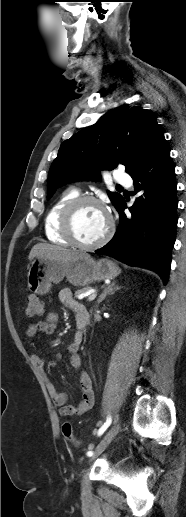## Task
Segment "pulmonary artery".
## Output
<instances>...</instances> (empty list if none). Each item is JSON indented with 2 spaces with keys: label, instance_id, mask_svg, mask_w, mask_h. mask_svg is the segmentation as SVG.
<instances>
[{
  "label": "pulmonary artery",
  "instance_id": "1",
  "mask_svg": "<svg viewBox=\"0 0 186 517\" xmlns=\"http://www.w3.org/2000/svg\"><path fill=\"white\" fill-rule=\"evenodd\" d=\"M115 181L121 185H131L132 179L128 174L117 172L115 174Z\"/></svg>",
  "mask_w": 186,
  "mask_h": 517
}]
</instances>
